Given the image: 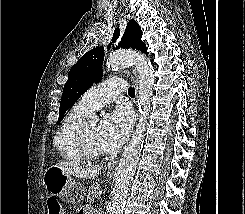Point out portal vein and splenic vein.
Returning a JSON list of instances; mask_svg holds the SVG:
<instances>
[{"label": "portal vein and splenic vein", "instance_id": "1", "mask_svg": "<svg viewBox=\"0 0 245 214\" xmlns=\"http://www.w3.org/2000/svg\"><path fill=\"white\" fill-rule=\"evenodd\" d=\"M97 194H98V196H101L102 195V191H99Z\"/></svg>", "mask_w": 245, "mask_h": 214}]
</instances>
